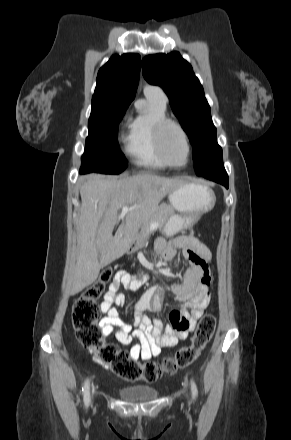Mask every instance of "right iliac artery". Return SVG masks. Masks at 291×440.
<instances>
[{
	"instance_id": "82829eb1",
	"label": "right iliac artery",
	"mask_w": 291,
	"mask_h": 440,
	"mask_svg": "<svg viewBox=\"0 0 291 440\" xmlns=\"http://www.w3.org/2000/svg\"><path fill=\"white\" fill-rule=\"evenodd\" d=\"M89 387H90V382L89 379H87L84 383V386L82 388L83 390V395H84V401H85V405L89 404L90 401V391H89Z\"/></svg>"
}]
</instances>
